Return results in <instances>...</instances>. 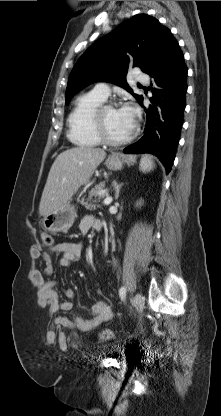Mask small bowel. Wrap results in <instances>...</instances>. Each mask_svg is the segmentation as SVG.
Segmentation results:
<instances>
[{"label": "small bowel", "instance_id": "1", "mask_svg": "<svg viewBox=\"0 0 221 416\" xmlns=\"http://www.w3.org/2000/svg\"><path fill=\"white\" fill-rule=\"evenodd\" d=\"M102 223L93 216H85L79 225L80 232L86 234L89 230H100ZM83 253L82 244L79 242H61L51 246L47 251L33 252L35 259L42 257L45 263V275H51L53 272L51 254L60 255L59 265L67 267L78 261ZM32 281L41 288L40 303L45 305L51 314L58 311H70L73 308V299L75 292L73 289L65 291V299L60 298L58 292V281L55 279H45L43 273L35 267L31 273ZM113 317V311L108 301L98 300L91 307V317L82 318L74 316L72 319L67 317H58L56 322L61 327L76 329L81 332H90L98 328L102 323L109 321Z\"/></svg>", "mask_w": 221, "mask_h": 416}]
</instances>
